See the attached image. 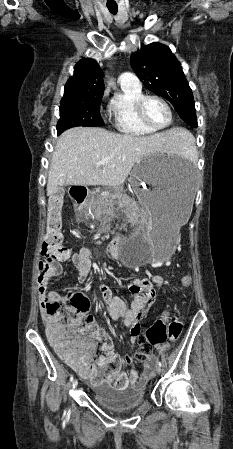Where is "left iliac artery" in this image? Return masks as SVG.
Wrapping results in <instances>:
<instances>
[{
  "instance_id": "1",
  "label": "left iliac artery",
  "mask_w": 233,
  "mask_h": 449,
  "mask_svg": "<svg viewBox=\"0 0 233 449\" xmlns=\"http://www.w3.org/2000/svg\"><path fill=\"white\" fill-rule=\"evenodd\" d=\"M158 364H159V366L160 367H162L163 365H162V363H161V361H158Z\"/></svg>"
}]
</instances>
